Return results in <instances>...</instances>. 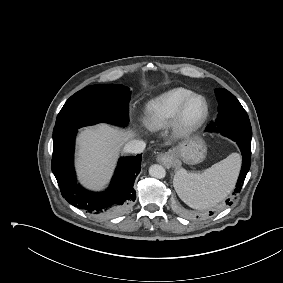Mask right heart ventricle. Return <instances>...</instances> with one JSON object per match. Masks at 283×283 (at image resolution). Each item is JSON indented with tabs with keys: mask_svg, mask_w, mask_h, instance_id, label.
<instances>
[{
	"mask_svg": "<svg viewBox=\"0 0 283 283\" xmlns=\"http://www.w3.org/2000/svg\"><path fill=\"white\" fill-rule=\"evenodd\" d=\"M190 93L191 90L179 87L150 100L145 107L146 128L150 131H158L167 127L172 122L180 103Z\"/></svg>",
	"mask_w": 283,
	"mask_h": 283,
	"instance_id": "right-heart-ventricle-1",
	"label": "right heart ventricle"
}]
</instances>
